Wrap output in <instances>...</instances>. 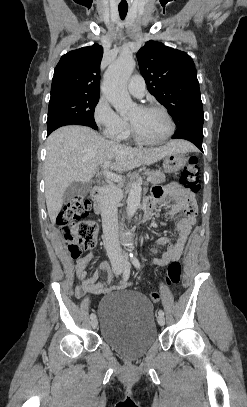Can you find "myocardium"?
<instances>
[{
	"label": "myocardium",
	"mask_w": 247,
	"mask_h": 407,
	"mask_svg": "<svg viewBox=\"0 0 247 407\" xmlns=\"http://www.w3.org/2000/svg\"><path fill=\"white\" fill-rule=\"evenodd\" d=\"M139 108L143 109V110L160 111L166 117V119L168 121L169 130H168L167 134L159 140H155V141L146 140L139 135V133L137 132L134 125L130 121H128L129 132H130L131 136L133 137V139L139 144L149 145V146H155V145H160V144L165 143L173 135V133L175 131V122H174L171 114L169 113V111L165 107L158 105V104H144V105H140Z\"/></svg>",
	"instance_id": "myocardium-1"
}]
</instances>
